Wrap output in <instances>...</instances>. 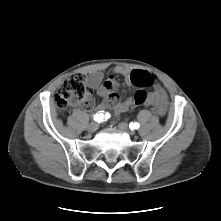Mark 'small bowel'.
I'll return each instance as SVG.
<instances>
[{"label":"small bowel","instance_id":"small-bowel-1","mask_svg":"<svg viewBox=\"0 0 221 221\" xmlns=\"http://www.w3.org/2000/svg\"><path fill=\"white\" fill-rule=\"evenodd\" d=\"M133 71H140L149 74L143 70H130L128 68L117 66L114 68V73L122 75L125 77L128 84H134L131 79V74ZM103 76L100 72H93L87 77V83L90 88L97 89L99 94L104 96V100L99 104L98 109L103 110L105 108H111L115 111L117 115L122 114L129 109L133 108L135 105L134 100L127 98L121 100L117 94L118 82L115 80L114 76H110L104 82L102 81ZM145 105L153 107L156 112L163 116L166 113L168 106V96L164 89L160 85H154L153 90L148 95Z\"/></svg>","mask_w":221,"mask_h":221}]
</instances>
